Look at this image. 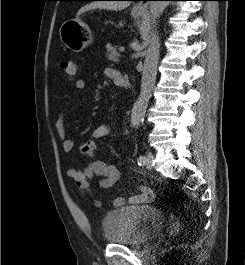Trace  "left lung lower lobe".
Returning <instances> with one entry per match:
<instances>
[{
  "mask_svg": "<svg viewBox=\"0 0 245 265\" xmlns=\"http://www.w3.org/2000/svg\"><path fill=\"white\" fill-rule=\"evenodd\" d=\"M128 1H140V0H128ZM147 1H151V0H147Z\"/></svg>",
  "mask_w": 245,
  "mask_h": 265,
  "instance_id": "1",
  "label": "left lung lower lobe"
}]
</instances>
